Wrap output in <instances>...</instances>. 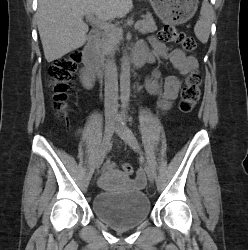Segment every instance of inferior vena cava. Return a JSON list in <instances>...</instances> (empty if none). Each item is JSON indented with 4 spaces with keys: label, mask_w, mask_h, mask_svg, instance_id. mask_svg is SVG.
I'll return each mask as SVG.
<instances>
[{
    "label": "inferior vena cava",
    "mask_w": 248,
    "mask_h": 250,
    "mask_svg": "<svg viewBox=\"0 0 248 250\" xmlns=\"http://www.w3.org/2000/svg\"><path fill=\"white\" fill-rule=\"evenodd\" d=\"M118 111V75L115 60L107 59L105 65V119L113 120Z\"/></svg>",
    "instance_id": "1"
}]
</instances>
